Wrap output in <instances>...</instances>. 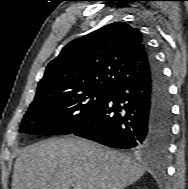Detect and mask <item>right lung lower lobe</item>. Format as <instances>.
Masks as SVG:
<instances>
[{
    "mask_svg": "<svg viewBox=\"0 0 188 189\" xmlns=\"http://www.w3.org/2000/svg\"><path fill=\"white\" fill-rule=\"evenodd\" d=\"M147 75L111 90L90 118L72 134L121 149L167 150L172 113L168 86L148 50Z\"/></svg>",
    "mask_w": 188,
    "mask_h": 189,
    "instance_id": "obj_1",
    "label": "right lung lower lobe"
}]
</instances>
